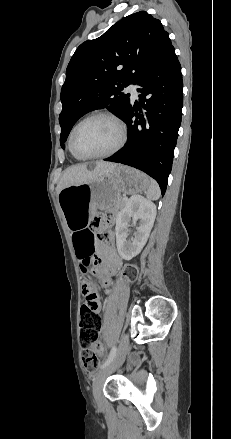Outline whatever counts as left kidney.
Wrapping results in <instances>:
<instances>
[{
  "label": "left kidney",
  "mask_w": 231,
  "mask_h": 439,
  "mask_svg": "<svg viewBox=\"0 0 231 439\" xmlns=\"http://www.w3.org/2000/svg\"><path fill=\"white\" fill-rule=\"evenodd\" d=\"M156 217V206L140 195L132 196L125 207L116 217V245L119 255L125 260H131L145 246ZM135 224L138 220L134 238L127 240L129 222Z\"/></svg>",
  "instance_id": "1"
}]
</instances>
